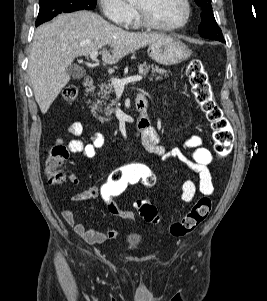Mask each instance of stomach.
Instances as JSON below:
<instances>
[{
  "label": "stomach",
  "instance_id": "stomach-1",
  "mask_svg": "<svg viewBox=\"0 0 267 301\" xmlns=\"http://www.w3.org/2000/svg\"><path fill=\"white\" fill-rule=\"evenodd\" d=\"M149 57L162 65L179 64L191 56L189 47L179 39L165 36L148 47Z\"/></svg>",
  "mask_w": 267,
  "mask_h": 301
}]
</instances>
